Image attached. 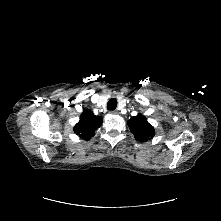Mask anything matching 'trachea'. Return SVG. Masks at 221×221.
Segmentation results:
<instances>
[{
    "label": "trachea",
    "instance_id": "obj_1",
    "mask_svg": "<svg viewBox=\"0 0 221 221\" xmlns=\"http://www.w3.org/2000/svg\"><path fill=\"white\" fill-rule=\"evenodd\" d=\"M117 107V100L116 98H111L107 103L108 110H115Z\"/></svg>",
    "mask_w": 221,
    "mask_h": 221
}]
</instances>
